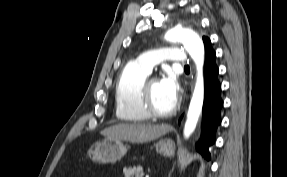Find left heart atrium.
<instances>
[{"label": "left heart atrium", "instance_id": "1", "mask_svg": "<svg viewBox=\"0 0 287 177\" xmlns=\"http://www.w3.org/2000/svg\"><path fill=\"white\" fill-rule=\"evenodd\" d=\"M160 82L164 90L169 94V96L176 100L179 92V84L174 73H166V75L162 78Z\"/></svg>", "mask_w": 287, "mask_h": 177}]
</instances>
